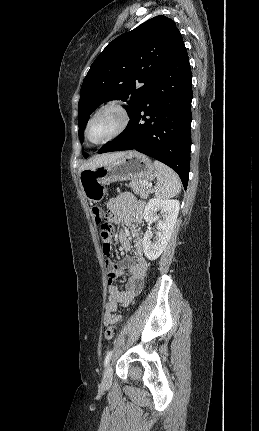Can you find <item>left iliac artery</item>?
I'll return each mask as SVG.
<instances>
[{
  "instance_id": "left-iliac-artery-1",
  "label": "left iliac artery",
  "mask_w": 259,
  "mask_h": 431,
  "mask_svg": "<svg viewBox=\"0 0 259 431\" xmlns=\"http://www.w3.org/2000/svg\"><path fill=\"white\" fill-rule=\"evenodd\" d=\"M111 356H112V350L107 353L105 360H104V366H107V364L109 363V361L111 359Z\"/></svg>"
}]
</instances>
